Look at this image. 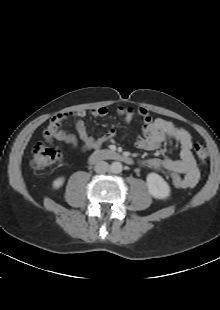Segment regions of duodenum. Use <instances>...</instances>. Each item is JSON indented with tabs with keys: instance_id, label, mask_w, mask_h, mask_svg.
I'll return each instance as SVG.
<instances>
[{
	"instance_id": "duodenum-1",
	"label": "duodenum",
	"mask_w": 220,
	"mask_h": 310,
	"mask_svg": "<svg viewBox=\"0 0 220 310\" xmlns=\"http://www.w3.org/2000/svg\"><path fill=\"white\" fill-rule=\"evenodd\" d=\"M102 159H108V160H114V161H120L126 164H131L132 159L120 152L117 151H112V150H98L94 152L90 157H89V162L90 163H95L98 162L99 160Z\"/></svg>"
}]
</instances>
